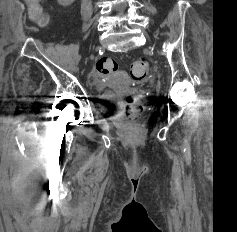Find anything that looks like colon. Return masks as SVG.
<instances>
[{"label":"colon","instance_id":"5ec220e1","mask_svg":"<svg viewBox=\"0 0 237 232\" xmlns=\"http://www.w3.org/2000/svg\"><path fill=\"white\" fill-rule=\"evenodd\" d=\"M29 9L30 19L40 26H45L48 23V17L41 7V0H25ZM150 65L147 61L139 59L132 63L130 67V75L135 80H142L147 77ZM96 70L100 75H108L115 73L118 70L117 62L108 57L100 58L96 63ZM128 108L125 114V121L131 125L139 124L142 116V106L140 99L135 96L127 98Z\"/></svg>","mask_w":237,"mask_h":232}]
</instances>
